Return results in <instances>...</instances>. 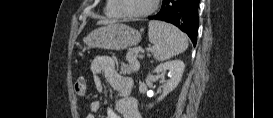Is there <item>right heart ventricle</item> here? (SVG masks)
<instances>
[{"label": "right heart ventricle", "instance_id": "obj_1", "mask_svg": "<svg viewBox=\"0 0 273 118\" xmlns=\"http://www.w3.org/2000/svg\"><path fill=\"white\" fill-rule=\"evenodd\" d=\"M104 12L107 16L110 17H121L122 13L118 9L116 5L115 0H108L105 7H104Z\"/></svg>", "mask_w": 273, "mask_h": 118}]
</instances>
